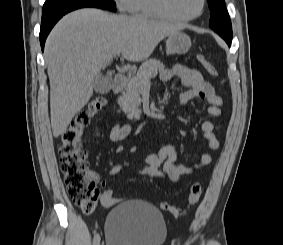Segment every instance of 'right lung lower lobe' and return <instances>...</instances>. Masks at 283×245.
I'll list each match as a JSON object with an SVG mask.
<instances>
[{
  "label": "right lung lower lobe",
  "mask_w": 283,
  "mask_h": 245,
  "mask_svg": "<svg viewBox=\"0 0 283 245\" xmlns=\"http://www.w3.org/2000/svg\"><path fill=\"white\" fill-rule=\"evenodd\" d=\"M84 7H95V8H101V9H106V10H110V11H116L115 6H112V5L86 4V5L73 6V7H70L68 9L61 10V11H58V12H54L50 15L42 17V24H41L40 36H39L42 51L44 50L45 40H46L49 32L53 28V26L57 23V21L62 16H64L65 14H67V13L73 11V10H76V9H79V8H84Z\"/></svg>",
  "instance_id": "obj_1"
}]
</instances>
